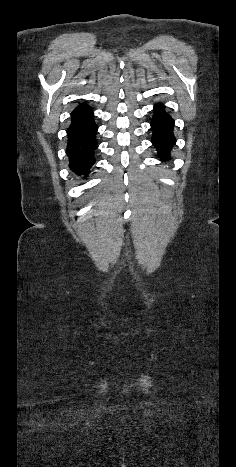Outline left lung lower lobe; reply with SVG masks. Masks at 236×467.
Listing matches in <instances>:
<instances>
[{
	"label": "left lung lower lobe",
	"instance_id": "left-lung-lower-lobe-1",
	"mask_svg": "<svg viewBox=\"0 0 236 467\" xmlns=\"http://www.w3.org/2000/svg\"><path fill=\"white\" fill-rule=\"evenodd\" d=\"M153 129L152 143L157 148L162 160L169 159V152L176 142L173 135L174 120L166 114L162 104L154 106V116L151 121Z\"/></svg>",
	"mask_w": 236,
	"mask_h": 467
}]
</instances>
